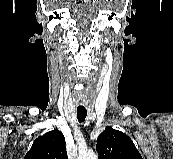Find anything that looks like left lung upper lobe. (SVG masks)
Masks as SVG:
<instances>
[{
	"label": "left lung upper lobe",
	"instance_id": "1",
	"mask_svg": "<svg viewBox=\"0 0 173 159\" xmlns=\"http://www.w3.org/2000/svg\"><path fill=\"white\" fill-rule=\"evenodd\" d=\"M99 159H142L130 137L107 127L97 140Z\"/></svg>",
	"mask_w": 173,
	"mask_h": 159
}]
</instances>
